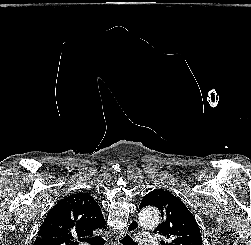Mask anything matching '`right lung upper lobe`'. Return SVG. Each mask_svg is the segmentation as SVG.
<instances>
[{
	"mask_svg": "<svg viewBox=\"0 0 251 245\" xmlns=\"http://www.w3.org/2000/svg\"><path fill=\"white\" fill-rule=\"evenodd\" d=\"M101 209L88 193L61 199L47 214L33 245H78L80 237L105 228Z\"/></svg>",
	"mask_w": 251,
	"mask_h": 245,
	"instance_id": "cb5924a9",
	"label": "right lung upper lobe"
}]
</instances>
